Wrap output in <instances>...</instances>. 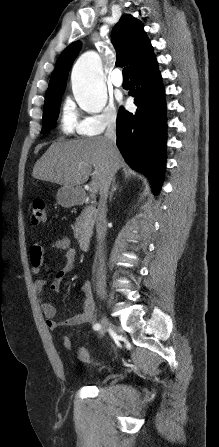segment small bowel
Wrapping results in <instances>:
<instances>
[{"label":"small bowel","instance_id":"c3829d8e","mask_svg":"<svg viewBox=\"0 0 219 447\" xmlns=\"http://www.w3.org/2000/svg\"><path fill=\"white\" fill-rule=\"evenodd\" d=\"M53 247L57 250L65 252L66 262L58 269L54 275L53 279L49 285V289L52 292H57L59 290L60 284L63 279L68 276L74 270V262L76 258V251L71 247V240L68 237H63L56 240L53 243ZM45 253V243L43 241L35 242L31 247L30 262L32 267V272L35 275L41 274L49 270V265L44 259ZM47 287V282L45 279H37L34 282V288L39 297L43 295ZM79 291L83 295V309L80 314L69 317L66 320L58 321L56 319V307L51 302H42L41 307L46 318V325L50 330H56L60 327H75L82 324L90 323L93 321L95 314V302L92 295L91 285L89 282H84L81 284ZM63 345L65 348H71V340L69 337L65 336L63 338ZM86 350L81 348L78 350V358L85 361L83 353Z\"/></svg>","mask_w":219,"mask_h":447}]
</instances>
